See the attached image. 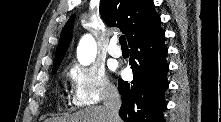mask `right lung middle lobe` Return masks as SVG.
Segmentation results:
<instances>
[{"instance_id":"1","label":"right lung middle lobe","mask_w":221,"mask_h":122,"mask_svg":"<svg viewBox=\"0 0 221 122\" xmlns=\"http://www.w3.org/2000/svg\"><path fill=\"white\" fill-rule=\"evenodd\" d=\"M56 71H57V69L53 70V74H55V73H56Z\"/></svg>"}]
</instances>
